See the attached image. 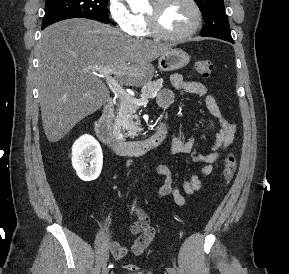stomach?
<instances>
[{
  "instance_id": "0dacf381",
  "label": "stomach",
  "mask_w": 289,
  "mask_h": 274,
  "mask_svg": "<svg viewBox=\"0 0 289 274\" xmlns=\"http://www.w3.org/2000/svg\"><path fill=\"white\" fill-rule=\"evenodd\" d=\"M190 61L189 55L180 49H170L158 59L161 71H173L185 67Z\"/></svg>"
}]
</instances>
